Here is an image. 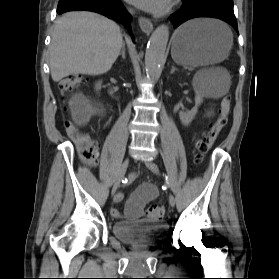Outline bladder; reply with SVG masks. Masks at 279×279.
<instances>
[{
  "label": "bladder",
  "instance_id": "31cf9c89",
  "mask_svg": "<svg viewBox=\"0 0 279 279\" xmlns=\"http://www.w3.org/2000/svg\"><path fill=\"white\" fill-rule=\"evenodd\" d=\"M168 225L153 219L119 221L113 225L114 236L122 242L151 247L160 244L168 233Z\"/></svg>",
  "mask_w": 279,
  "mask_h": 279
}]
</instances>
